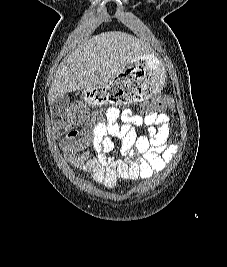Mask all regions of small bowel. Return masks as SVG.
<instances>
[{"label":"small bowel","mask_w":227,"mask_h":267,"mask_svg":"<svg viewBox=\"0 0 227 267\" xmlns=\"http://www.w3.org/2000/svg\"><path fill=\"white\" fill-rule=\"evenodd\" d=\"M139 126L147 127V132L139 133ZM177 136L173 121L165 113L147 115L109 107L94 126L67 130L60 146L76 169L111 190L120 180H147L163 171L177 151L171 143V137ZM112 138L121 140V158L108 155L114 148Z\"/></svg>","instance_id":"1"}]
</instances>
